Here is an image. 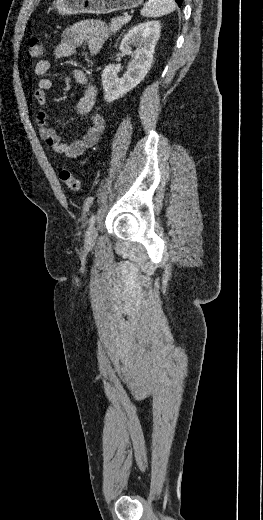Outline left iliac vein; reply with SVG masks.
Here are the masks:
<instances>
[{
	"label": "left iliac vein",
	"mask_w": 263,
	"mask_h": 520,
	"mask_svg": "<svg viewBox=\"0 0 263 520\" xmlns=\"http://www.w3.org/2000/svg\"><path fill=\"white\" fill-rule=\"evenodd\" d=\"M97 229L95 226H92L88 229L87 233H86V237H85V243L86 245L88 246H92L95 244L96 242V239H97Z\"/></svg>",
	"instance_id": "left-iliac-vein-1"
}]
</instances>
